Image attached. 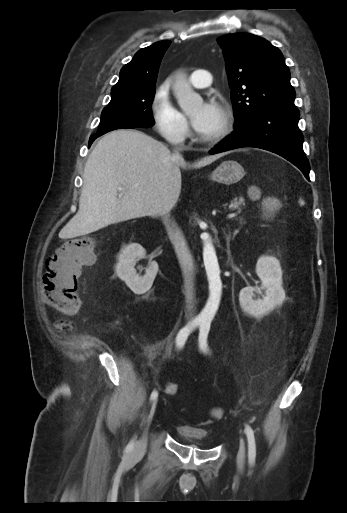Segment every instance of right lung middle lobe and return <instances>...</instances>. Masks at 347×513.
I'll list each match as a JSON object with an SVG mask.
<instances>
[{"label": "right lung middle lobe", "instance_id": "right-lung-middle-lobe-1", "mask_svg": "<svg viewBox=\"0 0 347 513\" xmlns=\"http://www.w3.org/2000/svg\"><path fill=\"white\" fill-rule=\"evenodd\" d=\"M155 86L111 91V101L102 111L97 134L121 128H149L154 125L151 104Z\"/></svg>", "mask_w": 347, "mask_h": 513}]
</instances>
